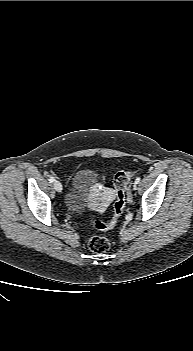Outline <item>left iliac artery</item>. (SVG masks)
I'll list each match as a JSON object with an SVG mask.
<instances>
[{"instance_id":"44dca946","label":"left iliac artery","mask_w":193,"mask_h":351,"mask_svg":"<svg viewBox=\"0 0 193 351\" xmlns=\"http://www.w3.org/2000/svg\"><path fill=\"white\" fill-rule=\"evenodd\" d=\"M140 180H141V178L140 177H136V180H135V183H139L140 182Z\"/></svg>"}]
</instances>
